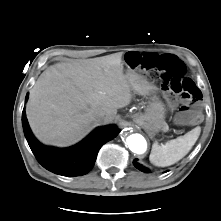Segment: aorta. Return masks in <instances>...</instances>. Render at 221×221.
<instances>
[{
  "label": "aorta",
  "mask_w": 221,
  "mask_h": 221,
  "mask_svg": "<svg viewBox=\"0 0 221 221\" xmlns=\"http://www.w3.org/2000/svg\"><path fill=\"white\" fill-rule=\"evenodd\" d=\"M126 142L129 149L136 154H142L147 149L146 140L141 134L133 133L128 135Z\"/></svg>",
  "instance_id": "762f6f07"
}]
</instances>
